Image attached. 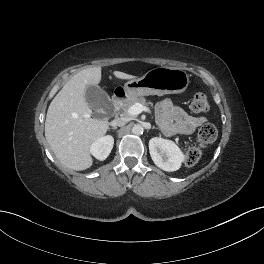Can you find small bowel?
Instances as JSON below:
<instances>
[{
    "label": "small bowel",
    "mask_w": 264,
    "mask_h": 264,
    "mask_svg": "<svg viewBox=\"0 0 264 264\" xmlns=\"http://www.w3.org/2000/svg\"><path fill=\"white\" fill-rule=\"evenodd\" d=\"M158 123L167 136L190 135L206 122L203 116H192L166 99L157 105Z\"/></svg>",
    "instance_id": "obj_1"
}]
</instances>
